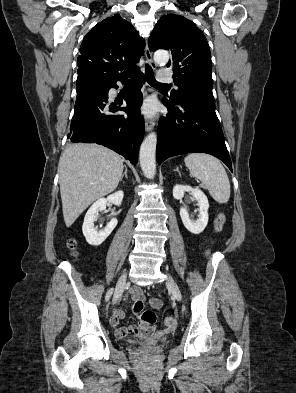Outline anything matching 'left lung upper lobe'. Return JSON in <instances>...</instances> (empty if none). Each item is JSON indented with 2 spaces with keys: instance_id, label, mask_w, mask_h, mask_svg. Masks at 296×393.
Segmentation results:
<instances>
[{
  "instance_id": "5c2ea615",
  "label": "left lung upper lobe",
  "mask_w": 296,
  "mask_h": 393,
  "mask_svg": "<svg viewBox=\"0 0 296 393\" xmlns=\"http://www.w3.org/2000/svg\"><path fill=\"white\" fill-rule=\"evenodd\" d=\"M148 45L152 51L167 49L172 54L167 67L173 66L178 90H173L169 98H163L165 102L177 104L181 98L197 94L213 97L209 45L203 32L192 21L174 14L162 16Z\"/></svg>"
}]
</instances>
